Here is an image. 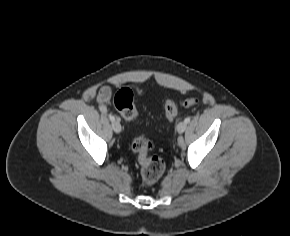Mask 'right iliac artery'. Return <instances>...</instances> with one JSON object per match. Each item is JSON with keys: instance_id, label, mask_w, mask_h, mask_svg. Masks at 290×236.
I'll return each mask as SVG.
<instances>
[{"instance_id": "right-iliac-artery-1", "label": "right iliac artery", "mask_w": 290, "mask_h": 236, "mask_svg": "<svg viewBox=\"0 0 290 236\" xmlns=\"http://www.w3.org/2000/svg\"><path fill=\"white\" fill-rule=\"evenodd\" d=\"M109 119L113 122L115 121V117L113 115H109Z\"/></svg>"}]
</instances>
